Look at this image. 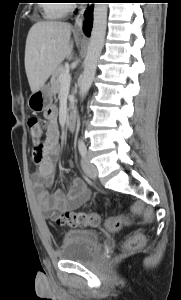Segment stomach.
Returning a JSON list of instances; mask_svg holds the SVG:
<instances>
[{
  "label": "stomach",
  "mask_w": 181,
  "mask_h": 300,
  "mask_svg": "<svg viewBox=\"0 0 181 300\" xmlns=\"http://www.w3.org/2000/svg\"><path fill=\"white\" fill-rule=\"evenodd\" d=\"M53 100V90L50 84H46L33 92L28 99V106L32 111L40 112L47 109Z\"/></svg>",
  "instance_id": "obj_1"
}]
</instances>
